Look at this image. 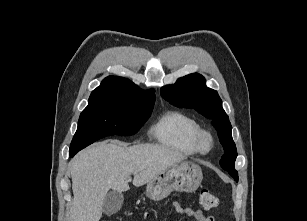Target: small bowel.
<instances>
[{"mask_svg": "<svg viewBox=\"0 0 307 221\" xmlns=\"http://www.w3.org/2000/svg\"><path fill=\"white\" fill-rule=\"evenodd\" d=\"M172 206L178 214L194 217L197 221H215L214 216H205L201 210H194L190 207L182 206L179 203H173Z\"/></svg>", "mask_w": 307, "mask_h": 221, "instance_id": "obj_1", "label": "small bowel"}]
</instances>
